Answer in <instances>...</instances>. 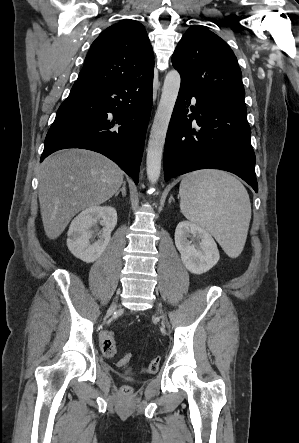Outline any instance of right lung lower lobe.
<instances>
[{
	"instance_id": "right-lung-lower-lobe-1",
	"label": "right lung lower lobe",
	"mask_w": 299,
	"mask_h": 443,
	"mask_svg": "<svg viewBox=\"0 0 299 443\" xmlns=\"http://www.w3.org/2000/svg\"><path fill=\"white\" fill-rule=\"evenodd\" d=\"M153 76L97 87H72L45 139L40 161L65 148L99 152L138 184L152 107Z\"/></svg>"
}]
</instances>
